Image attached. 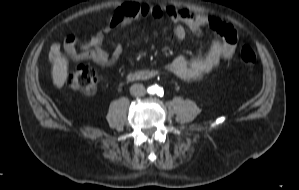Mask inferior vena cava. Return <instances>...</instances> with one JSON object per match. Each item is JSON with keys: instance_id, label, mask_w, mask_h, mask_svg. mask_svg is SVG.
<instances>
[{"instance_id": "602c4592", "label": "inferior vena cava", "mask_w": 299, "mask_h": 190, "mask_svg": "<svg viewBox=\"0 0 299 190\" xmlns=\"http://www.w3.org/2000/svg\"><path fill=\"white\" fill-rule=\"evenodd\" d=\"M130 93L133 96H143L146 94L145 87L141 84H133L130 88Z\"/></svg>"}]
</instances>
